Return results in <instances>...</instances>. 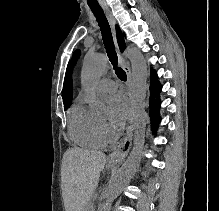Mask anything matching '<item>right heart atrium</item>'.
<instances>
[{"label": "right heart atrium", "mask_w": 219, "mask_h": 211, "mask_svg": "<svg viewBox=\"0 0 219 211\" xmlns=\"http://www.w3.org/2000/svg\"><path fill=\"white\" fill-rule=\"evenodd\" d=\"M100 130L105 143H110L114 139V132L107 123H100Z\"/></svg>", "instance_id": "1"}]
</instances>
